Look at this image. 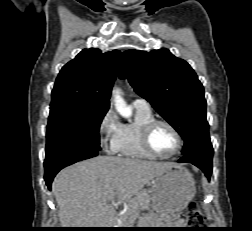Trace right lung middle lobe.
<instances>
[{
    "instance_id": "right-lung-middle-lobe-1",
    "label": "right lung middle lobe",
    "mask_w": 252,
    "mask_h": 231,
    "mask_svg": "<svg viewBox=\"0 0 252 231\" xmlns=\"http://www.w3.org/2000/svg\"><path fill=\"white\" fill-rule=\"evenodd\" d=\"M108 108L68 101L51 102L47 125L46 156L64 149L101 150L99 128Z\"/></svg>"
}]
</instances>
